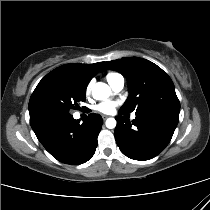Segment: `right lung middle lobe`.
I'll list each match as a JSON object with an SVG mask.
<instances>
[{
	"label": "right lung middle lobe",
	"mask_w": 210,
	"mask_h": 210,
	"mask_svg": "<svg viewBox=\"0 0 210 210\" xmlns=\"http://www.w3.org/2000/svg\"><path fill=\"white\" fill-rule=\"evenodd\" d=\"M86 99V86L67 79L48 80L34 90L29 101L30 124L69 115Z\"/></svg>",
	"instance_id": "right-lung-middle-lobe-1"
}]
</instances>
